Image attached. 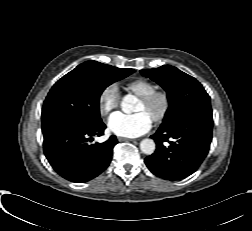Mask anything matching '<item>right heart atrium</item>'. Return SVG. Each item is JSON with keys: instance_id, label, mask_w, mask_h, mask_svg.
<instances>
[{"instance_id": "obj_1", "label": "right heart atrium", "mask_w": 252, "mask_h": 231, "mask_svg": "<svg viewBox=\"0 0 252 231\" xmlns=\"http://www.w3.org/2000/svg\"><path fill=\"white\" fill-rule=\"evenodd\" d=\"M120 103V92L115 83L106 85L98 96V110L101 116L107 117L117 109Z\"/></svg>"}]
</instances>
